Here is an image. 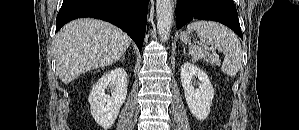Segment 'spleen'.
Instances as JSON below:
<instances>
[{"mask_svg":"<svg viewBox=\"0 0 299 130\" xmlns=\"http://www.w3.org/2000/svg\"><path fill=\"white\" fill-rule=\"evenodd\" d=\"M195 30L201 42L223 52L225 57L221 70L227 76H235L242 63V48L237 36L227 27L212 21L198 20L187 26L188 33ZM180 39L185 44L189 43L187 33H182ZM189 54L195 59H208L210 54L205 46L191 45L189 43Z\"/></svg>","mask_w":299,"mask_h":130,"instance_id":"3e777b00","label":"spleen"}]
</instances>
